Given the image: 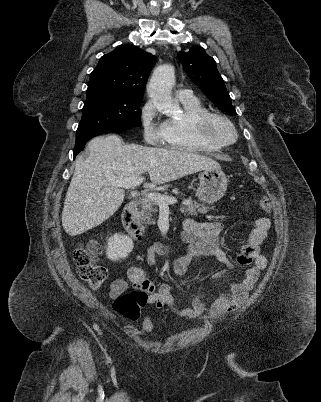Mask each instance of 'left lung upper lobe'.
<instances>
[{
	"label": "left lung upper lobe",
	"instance_id": "1",
	"mask_svg": "<svg viewBox=\"0 0 321 402\" xmlns=\"http://www.w3.org/2000/svg\"><path fill=\"white\" fill-rule=\"evenodd\" d=\"M178 58L187 75L216 106L237 115L215 60L202 47L195 46L187 52L180 51Z\"/></svg>",
	"mask_w": 321,
	"mask_h": 402
}]
</instances>
